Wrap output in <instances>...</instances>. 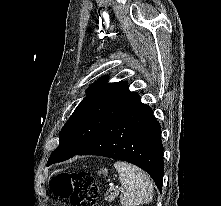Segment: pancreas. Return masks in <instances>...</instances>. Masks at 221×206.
Here are the masks:
<instances>
[{
    "label": "pancreas",
    "instance_id": "obj_1",
    "mask_svg": "<svg viewBox=\"0 0 221 206\" xmlns=\"http://www.w3.org/2000/svg\"><path fill=\"white\" fill-rule=\"evenodd\" d=\"M117 196H118V192L114 193V195H108V196L106 197V200H107L108 202H111V201H113Z\"/></svg>",
    "mask_w": 221,
    "mask_h": 206
}]
</instances>
